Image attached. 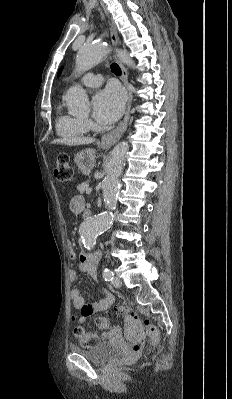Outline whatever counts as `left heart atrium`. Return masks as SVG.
<instances>
[{
  "mask_svg": "<svg viewBox=\"0 0 232 399\" xmlns=\"http://www.w3.org/2000/svg\"><path fill=\"white\" fill-rule=\"evenodd\" d=\"M124 110L123 93L114 87H108L98 93L93 100V117L102 124H113Z\"/></svg>",
  "mask_w": 232,
  "mask_h": 399,
  "instance_id": "obj_1",
  "label": "left heart atrium"
}]
</instances>
